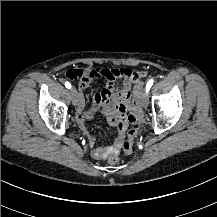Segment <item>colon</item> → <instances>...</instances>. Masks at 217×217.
<instances>
[{
  "label": "colon",
  "instance_id": "colon-1",
  "mask_svg": "<svg viewBox=\"0 0 217 217\" xmlns=\"http://www.w3.org/2000/svg\"><path fill=\"white\" fill-rule=\"evenodd\" d=\"M83 73L84 71L82 69H73V70H69L66 73V77L71 81H77L83 76ZM144 86H145L144 82L137 83L131 88V91L132 92L143 91ZM129 121L132 123V127L129 129L127 141L123 145V153L126 155L132 154V149L130 147L136 139V135L138 133V128H139V121L137 120V117L135 115H130ZM111 162L114 165H117L120 162V159L117 156H114L111 159Z\"/></svg>",
  "mask_w": 217,
  "mask_h": 217
}]
</instances>
